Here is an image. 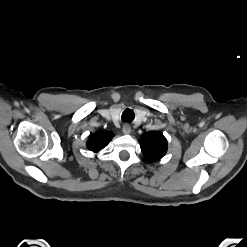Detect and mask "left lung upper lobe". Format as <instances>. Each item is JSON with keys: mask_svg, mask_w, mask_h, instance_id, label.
<instances>
[{"mask_svg": "<svg viewBox=\"0 0 247 247\" xmlns=\"http://www.w3.org/2000/svg\"><path fill=\"white\" fill-rule=\"evenodd\" d=\"M139 143L142 153L151 161L159 160L167 152V140L163 134L159 132L143 134Z\"/></svg>", "mask_w": 247, "mask_h": 247, "instance_id": "obj_1", "label": "left lung upper lobe"}]
</instances>
